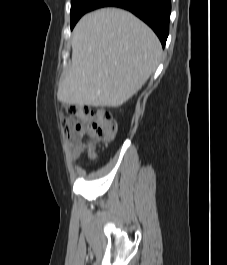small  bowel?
<instances>
[{"label": "small bowel", "instance_id": "c3829d8e", "mask_svg": "<svg viewBox=\"0 0 227 265\" xmlns=\"http://www.w3.org/2000/svg\"><path fill=\"white\" fill-rule=\"evenodd\" d=\"M78 136L79 133H77V135H74L73 140L70 144L71 154L75 159L79 158L84 153V148H82L78 143Z\"/></svg>", "mask_w": 227, "mask_h": 265}]
</instances>
